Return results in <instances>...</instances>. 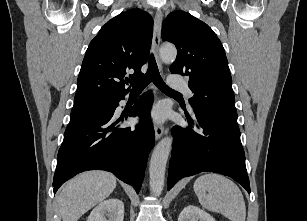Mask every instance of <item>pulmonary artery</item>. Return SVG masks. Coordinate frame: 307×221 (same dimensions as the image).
Segmentation results:
<instances>
[{
    "label": "pulmonary artery",
    "instance_id": "pulmonary-artery-1",
    "mask_svg": "<svg viewBox=\"0 0 307 221\" xmlns=\"http://www.w3.org/2000/svg\"><path fill=\"white\" fill-rule=\"evenodd\" d=\"M169 83L173 88L181 90L187 95H191V90L189 89L187 83L184 81L178 80L176 75H171L169 79Z\"/></svg>",
    "mask_w": 307,
    "mask_h": 221
}]
</instances>
